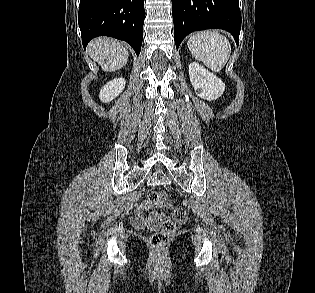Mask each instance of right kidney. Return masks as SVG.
Here are the masks:
<instances>
[{"label": "right kidney", "mask_w": 315, "mask_h": 293, "mask_svg": "<svg viewBox=\"0 0 315 293\" xmlns=\"http://www.w3.org/2000/svg\"><path fill=\"white\" fill-rule=\"evenodd\" d=\"M126 81L123 77L115 78L102 87L99 98L102 102H110L125 88Z\"/></svg>", "instance_id": "ca27d5eb"}]
</instances>
